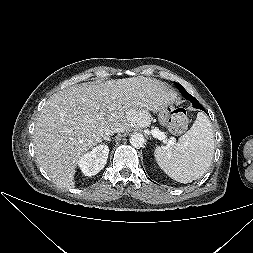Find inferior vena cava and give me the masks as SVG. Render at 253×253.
I'll list each match as a JSON object with an SVG mask.
<instances>
[{
  "label": "inferior vena cava",
  "instance_id": "1",
  "mask_svg": "<svg viewBox=\"0 0 253 253\" xmlns=\"http://www.w3.org/2000/svg\"><path fill=\"white\" fill-rule=\"evenodd\" d=\"M118 132H121V130L119 128L112 129V130H107L105 132L104 137H108V136L112 135L113 133H118Z\"/></svg>",
  "mask_w": 253,
  "mask_h": 253
}]
</instances>
